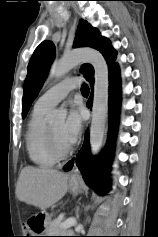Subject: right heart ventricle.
<instances>
[{"instance_id":"e07e8e85","label":"right heart ventricle","mask_w":158,"mask_h":237,"mask_svg":"<svg viewBox=\"0 0 158 237\" xmlns=\"http://www.w3.org/2000/svg\"><path fill=\"white\" fill-rule=\"evenodd\" d=\"M50 109L34 105L25 134L26 150L31 161L39 167L47 168L56 160L50 155L46 145V116Z\"/></svg>"}]
</instances>
